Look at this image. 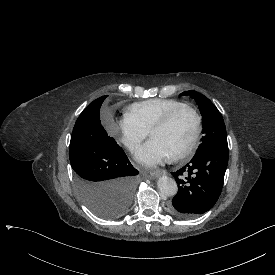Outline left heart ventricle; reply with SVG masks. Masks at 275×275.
Returning a JSON list of instances; mask_svg holds the SVG:
<instances>
[{
    "mask_svg": "<svg viewBox=\"0 0 275 275\" xmlns=\"http://www.w3.org/2000/svg\"><path fill=\"white\" fill-rule=\"evenodd\" d=\"M193 130L192 115L184 111L174 118L169 127L154 131L151 137L161 143L173 156L188 144Z\"/></svg>",
    "mask_w": 275,
    "mask_h": 275,
    "instance_id": "b2bd125f",
    "label": "left heart ventricle"
}]
</instances>
